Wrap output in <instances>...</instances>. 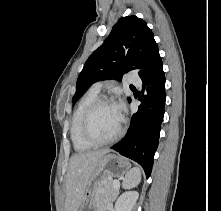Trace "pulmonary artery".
I'll return each mask as SVG.
<instances>
[{
    "label": "pulmonary artery",
    "instance_id": "obj_1",
    "mask_svg": "<svg viewBox=\"0 0 221 211\" xmlns=\"http://www.w3.org/2000/svg\"><path fill=\"white\" fill-rule=\"evenodd\" d=\"M126 81L129 84L132 85H140L141 84V79L139 78V76H137L136 74H128ZM103 84L102 83H96L93 88L97 91H100L102 89Z\"/></svg>",
    "mask_w": 221,
    "mask_h": 211
}]
</instances>
